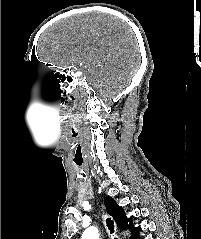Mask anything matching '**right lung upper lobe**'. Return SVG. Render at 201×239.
<instances>
[{"instance_id":"right-lung-upper-lobe-1","label":"right lung upper lobe","mask_w":201,"mask_h":239,"mask_svg":"<svg viewBox=\"0 0 201 239\" xmlns=\"http://www.w3.org/2000/svg\"><path fill=\"white\" fill-rule=\"evenodd\" d=\"M104 204L107 209V212L113 216L116 221L119 229L121 230H130L131 236L130 239H136L138 237V232L141 230L140 227H134L131 222V218L128 219L125 215V212L122 207L117 205L116 201L112 197H105Z\"/></svg>"}]
</instances>
